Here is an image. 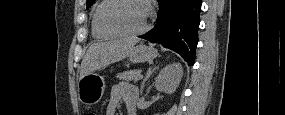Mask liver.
Returning a JSON list of instances; mask_svg holds the SVG:
<instances>
[{
    "instance_id": "1",
    "label": "liver",
    "mask_w": 285,
    "mask_h": 115,
    "mask_svg": "<svg viewBox=\"0 0 285 115\" xmlns=\"http://www.w3.org/2000/svg\"><path fill=\"white\" fill-rule=\"evenodd\" d=\"M137 42L138 38H122L92 44L82 60L80 78L126 58Z\"/></svg>"
}]
</instances>
